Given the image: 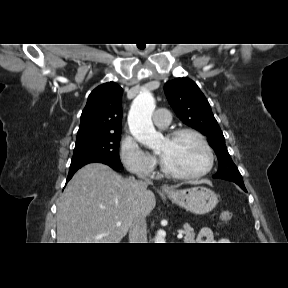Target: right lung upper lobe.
Masks as SVG:
<instances>
[{
    "label": "right lung upper lobe",
    "instance_id": "right-lung-upper-lobe-1",
    "mask_svg": "<svg viewBox=\"0 0 288 288\" xmlns=\"http://www.w3.org/2000/svg\"><path fill=\"white\" fill-rule=\"evenodd\" d=\"M122 88L108 82L95 88L89 95L81 114L77 140L121 133Z\"/></svg>",
    "mask_w": 288,
    "mask_h": 288
}]
</instances>
